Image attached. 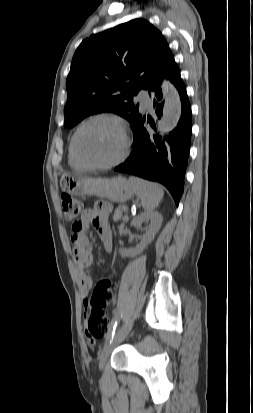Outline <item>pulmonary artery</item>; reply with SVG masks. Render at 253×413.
<instances>
[{
	"instance_id": "pulmonary-artery-1",
	"label": "pulmonary artery",
	"mask_w": 253,
	"mask_h": 413,
	"mask_svg": "<svg viewBox=\"0 0 253 413\" xmlns=\"http://www.w3.org/2000/svg\"><path fill=\"white\" fill-rule=\"evenodd\" d=\"M138 101L141 104L142 109H150L152 106V100L146 91H140L137 96Z\"/></svg>"
}]
</instances>
